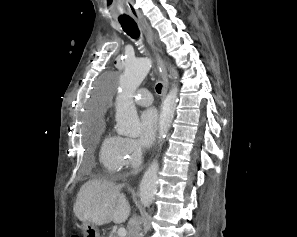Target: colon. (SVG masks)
I'll use <instances>...</instances> for the list:
<instances>
[{
	"instance_id": "colon-1",
	"label": "colon",
	"mask_w": 297,
	"mask_h": 237,
	"mask_svg": "<svg viewBox=\"0 0 297 237\" xmlns=\"http://www.w3.org/2000/svg\"><path fill=\"white\" fill-rule=\"evenodd\" d=\"M72 237H78V236L74 235V236H72Z\"/></svg>"
}]
</instances>
